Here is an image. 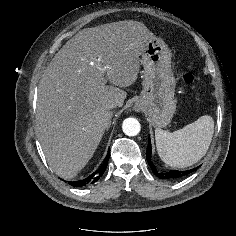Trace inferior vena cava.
<instances>
[{
    "mask_svg": "<svg viewBox=\"0 0 236 236\" xmlns=\"http://www.w3.org/2000/svg\"><path fill=\"white\" fill-rule=\"evenodd\" d=\"M116 107V104L115 103H110L109 105H108V108L109 109H112V108H115Z\"/></svg>",
    "mask_w": 236,
    "mask_h": 236,
    "instance_id": "obj_1",
    "label": "inferior vena cava"
}]
</instances>
